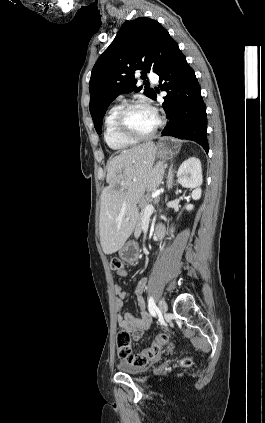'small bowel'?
Instances as JSON below:
<instances>
[{"instance_id":"obj_1","label":"small bowel","mask_w":265,"mask_h":423,"mask_svg":"<svg viewBox=\"0 0 265 423\" xmlns=\"http://www.w3.org/2000/svg\"><path fill=\"white\" fill-rule=\"evenodd\" d=\"M164 227L163 225H157V228ZM165 228V227H164ZM166 229V228H165ZM173 232L172 229L166 230V235H170ZM118 276L124 277L127 275V271L124 268L122 271L117 273ZM147 279L141 278L134 288V296L136 297L137 307L140 311V316L136 317L130 313H119V310L123 306L124 299L128 298L129 294L118 284L113 285L114 292V308L117 311L116 321L120 328L126 329L134 338V340H139L146 331L150 328L152 324V318L146 311V305L143 298L144 291L146 289Z\"/></svg>"}]
</instances>
